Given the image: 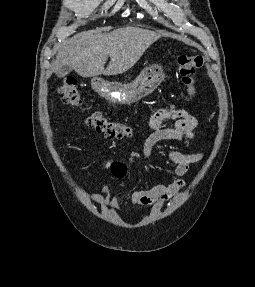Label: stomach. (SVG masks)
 I'll return each instance as SVG.
<instances>
[{
	"instance_id": "0dacf381",
	"label": "stomach",
	"mask_w": 255,
	"mask_h": 287,
	"mask_svg": "<svg viewBox=\"0 0 255 287\" xmlns=\"http://www.w3.org/2000/svg\"><path fill=\"white\" fill-rule=\"evenodd\" d=\"M164 76L162 72H147L144 70L131 84H120V82H106L102 78H93L91 86L99 96L114 102V104H134L139 102L155 88L160 86Z\"/></svg>"
}]
</instances>
